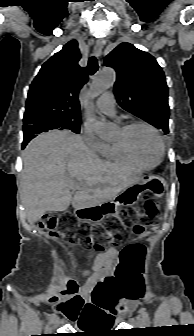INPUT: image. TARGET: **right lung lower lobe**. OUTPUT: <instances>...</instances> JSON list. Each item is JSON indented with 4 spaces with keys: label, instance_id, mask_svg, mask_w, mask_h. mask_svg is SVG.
<instances>
[{
    "label": "right lung lower lobe",
    "instance_id": "1",
    "mask_svg": "<svg viewBox=\"0 0 194 336\" xmlns=\"http://www.w3.org/2000/svg\"><path fill=\"white\" fill-rule=\"evenodd\" d=\"M27 143H28V142H27ZM27 143H23V146H22V148H24V147L26 146V144H27Z\"/></svg>",
    "mask_w": 194,
    "mask_h": 336
}]
</instances>
